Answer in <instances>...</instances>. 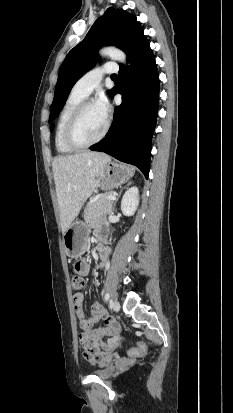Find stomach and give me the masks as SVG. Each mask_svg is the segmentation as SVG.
Segmentation results:
<instances>
[{"label": "stomach", "instance_id": "obj_1", "mask_svg": "<svg viewBox=\"0 0 233 413\" xmlns=\"http://www.w3.org/2000/svg\"><path fill=\"white\" fill-rule=\"evenodd\" d=\"M134 174V169L125 164L108 162L99 187L105 191L118 188L127 182ZM89 228L82 221H74L63 234V242L66 254L71 258L81 256L85 251L86 239Z\"/></svg>", "mask_w": 233, "mask_h": 413}]
</instances>
